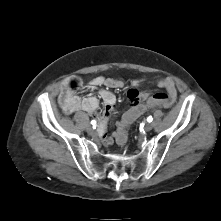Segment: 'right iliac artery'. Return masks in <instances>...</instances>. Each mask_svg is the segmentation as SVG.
<instances>
[{"label": "right iliac artery", "mask_w": 221, "mask_h": 221, "mask_svg": "<svg viewBox=\"0 0 221 221\" xmlns=\"http://www.w3.org/2000/svg\"><path fill=\"white\" fill-rule=\"evenodd\" d=\"M91 125H93V127L96 128V127H95V126H96V121H95V120H92V121H91Z\"/></svg>", "instance_id": "1"}]
</instances>
